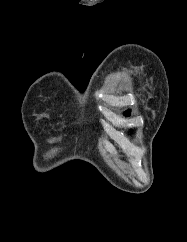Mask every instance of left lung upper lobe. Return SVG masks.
<instances>
[{
  "label": "left lung upper lobe",
  "mask_w": 187,
  "mask_h": 242,
  "mask_svg": "<svg viewBox=\"0 0 187 242\" xmlns=\"http://www.w3.org/2000/svg\"><path fill=\"white\" fill-rule=\"evenodd\" d=\"M125 115H126V116H129V115H130L129 110L125 112Z\"/></svg>",
  "instance_id": "left-lung-upper-lobe-1"
}]
</instances>
